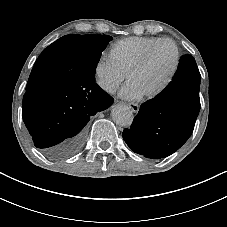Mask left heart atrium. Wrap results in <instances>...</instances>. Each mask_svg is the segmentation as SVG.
<instances>
[{
	"label": "left heart atrium",
	"mask_w": 227,
	"mask_h": 227,
	"mask_svg": "<svg viewBox=\"0 0 227 227\" xmlns=\"http://www.w3.org/2000/svg\"><path fill=\"white\" fill-rule=\"evenodd\" d=\"M120 96L126 100H138L143 94L132 83H127L120 91Z\"/></svg>",
	"instance_id": "1"
}]
</instances>
